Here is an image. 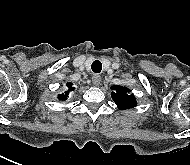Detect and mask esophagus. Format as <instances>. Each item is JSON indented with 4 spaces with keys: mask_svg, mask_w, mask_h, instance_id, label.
<instances>
[{
    "mask_svg": "<svg viewBox=\"0 0 190 165\" xmlns=\"http://www.w3.org/2000/svg\"><path fill=\"white\" fill-rule=\"evenodd\" d=\"M101 82V76L99 74H94L92 76V83L94 86H98Z\"/></svg>",
    "mask_w": 190,
    "mask_h": 165,
    "instance_id": "34e87169",
    "label": "esophagus"
}]
</instances>
